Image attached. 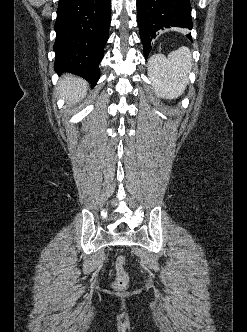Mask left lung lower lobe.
Returning a JSON list of instances; mask_svg holds the SVG:
<instances>
[{
    "mask_svg": "<svg viewBox=\"0 0 247 332\" xmlns=\"http://www.w3.org/2000/svg\"><path fill=\"white\" fill-rule=\"evenodd\" d=\"M137 12L145 57L152 49L153 40L164 28L193 27L190 0H137ZM187 37L192 40L190 34Z\"/></svg>",
    "mask_w": 247,
    "mask_h": 332,
    "instance_id": "left-lung-lower-lobe-1",
    "label": "left lung lower lobe"
}]
</instances>
